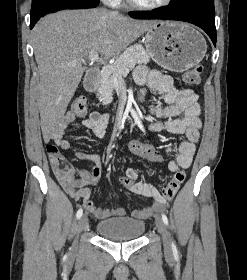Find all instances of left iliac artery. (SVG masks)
I'll list each match as a JSON object with an SVG mask.
<instances>
[{
	"mask_svg": "<svg viewBox=\"0 0 247 280\" xmlns=\"http://www.w3.org/2000/svg\"><path fill=\"white\" fill-rule=\"evenodd\" d=\"M162 220L166 225H168V218L164 213H162ZM171 246H172L173 251L176 252L177 251L176 244L174 242H172Z\"/></svg>",
	"mask_w": 247,
	"mask_h": 280,
	"instance_id": "obj_1",
	"label": "left iliac artery"
}]
</instances>
